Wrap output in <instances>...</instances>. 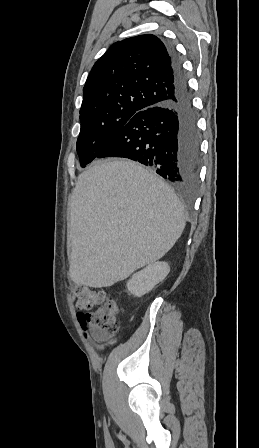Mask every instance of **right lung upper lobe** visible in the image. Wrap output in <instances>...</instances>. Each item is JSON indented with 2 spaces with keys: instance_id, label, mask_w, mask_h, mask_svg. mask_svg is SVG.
Masks as SVG:
<instances>
[{
  "instance_id": "right-lung-upper-lobe-1",
  "label": "right lung upper lobe",
  "mask_w": 259,
  "mask_h": 448,
  "mask_svg": "<svg viewBox=\"0 0 259 448\" xmlns=\"http://www.w3.org/2000/svg\"><path fill=\"white\" fill-rule=\"evenodd\" d=\"M169 52L155 35L114 43L93 66L83 88L80 115L145 110L174 95Z\"/></svg>"
}]
</instances>
